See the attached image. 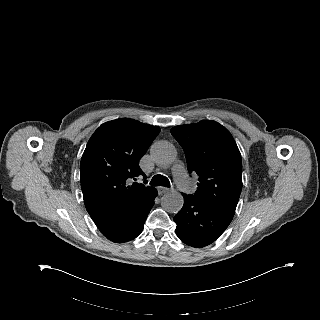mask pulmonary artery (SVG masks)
I'll use <instances>...</instances> for the list:
<instances>
[{
  "mask_svg": "<svg viewBox=\"0 0 320 320\" xmlns=\"http://www.w3.org/2000/svg\"><path fill=\"white\" fill-rule=\"evenodd\" d=\"M172 174L178 186L184 187L185 185L191 186V181L188 178L184 165L181 162L176 163L172 168Z\"/></svg>",
  "mask_w": 320,
  "mask_h": 320,
  "instance_id": "pulmonary-artery-1",
  "label": "pulmonary artery"
}]
</instances>
